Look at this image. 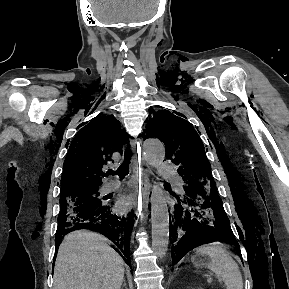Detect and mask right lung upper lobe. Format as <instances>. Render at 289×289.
Masks as SVG:
<instances>
[{
  "label": "right lung upper lobe",
  "mask_w": 289,
  "mask_h": 289,
  "mask_svg": "<svg viewBox=\"0 0 289 289\" xmlns=\"http://www.w3.org/2000/svg\"><path fill=\"white\" fill-rule=\"evenodd\" d=\"M120 122L112 115L99 114L85 125L69 146L61 178V196L99 189L102 168L124 144Z\"/></svg>",
  "instance_id": "1"
}]
</instances>
